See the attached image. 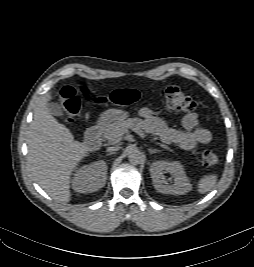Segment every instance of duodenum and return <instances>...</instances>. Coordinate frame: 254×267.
<instances>
[{
    "instance_id": "410a0bca",
    "label": "duodenum",
    "mask_w": 254,
    "mask_h": 267,
    "mask_svg": "<svg viewBox=\"0 0 254 267\" xmlns=\"http://www.w3.org/2000/svg\"><path fill=\"white\" fill-rule=\"evenodd\" d=\"M103 126L96 124L91 126L85 133V143L91 149H98L101 144Z\"/></svg>"
}]
</instances>
